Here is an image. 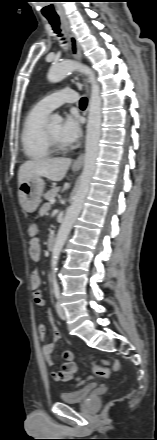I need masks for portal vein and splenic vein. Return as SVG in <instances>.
Wrapping results in <instances>:
<instances>
[{
	"mask_svg": "<svg viewBox=\"0 0 157 440\" xmlns=\"http://www.w3.org/2000/svg\"><path fill=\"white\" fill-rule=\"evenodd\" d=\"M50 203H51V204H54V203H55V199H54V198L51 199V200H50Z\"/></svg>",
	"mask_w": 157,
	"mask_h": 440,
	"instance_id": "18ae733b",
	"label": "portal vein and splenic vein"
}]
</instances>
